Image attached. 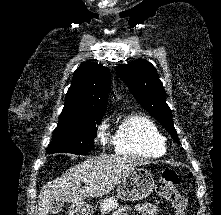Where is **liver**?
I'll return each mask as SVG.
<instances>
[{"instance_id": "1", "label": "liver", "mask_w": 221, "mask_h": 215, "mask_svg": "<svg viewBox=\"0 0 221 215\" xmlns=\"http://www.w3.org/2000/svg\"><path fill=\"white\" fill-rule=\"evenodd\" d=\"M145 164L147 161L132 156L88 158L42 187L36 215H48L54 202L80 203L108 194L129 172ZM81 183L86 185L82 187Z\"/></svg>"}]
</instances>
